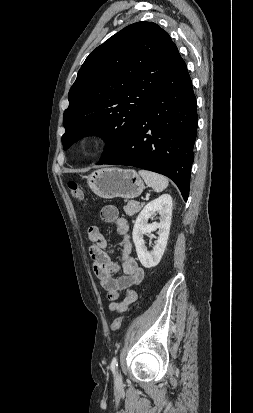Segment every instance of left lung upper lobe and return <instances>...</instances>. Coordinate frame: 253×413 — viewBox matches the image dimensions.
I'll return each instance as SVG.
<instances>
[{"instance_id": "1", "label": "left lung upper lobe", "mask_w": 253, "mask_h": 413, "mask_svg": "<svg viewBox=\"0 0 253 413\" xmlns=\"http://www.w3.org/2000/svg\"><path fill=\"white\" fill-rule=\"evenodd\" d=\"M178 55L168 33L144 21L125 27L97 47L69 91L64 150L84 136L98 135L106 141L98 164L120 151Z\"/></svg>"}]
</instances>
